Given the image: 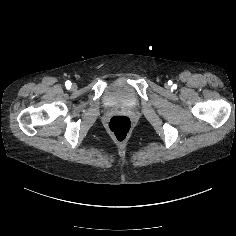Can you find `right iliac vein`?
I'll return each instance as SVG.
<instances>
[{"instance_id":"right-iliac-vein-1","label":"right iliac vein","mask_w":236,"mask_h":236,"mask_svg":"<svg viewBox=\"0 0 236 236\" xmlns=\"http://www.w3.org/2000/svg\"><path fill=\"white\" fill-rule=\"evenodd\" d=\"M72 88H73V89H76V84H72Z\"/></svg>"}]
</instances>
